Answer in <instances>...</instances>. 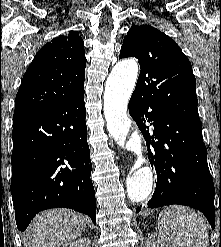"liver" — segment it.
I'll return each mask as SVG.
<instances>
[{"label": "liver", "instance_id": "1", "mask_svg": "<svg viewBox=\"0 0 221 247\" xmlns=\"http://www.w3.org/2000/svg\"><path fill=\"white\" fill-rule=\"evenodd\" d=\"M86 221L82 214L64 208L44 211L29 225L23 243L26 247H67L84 232Z\"/></svg>", "mask_w": 221, "mask_h": 247}]
</instances>
